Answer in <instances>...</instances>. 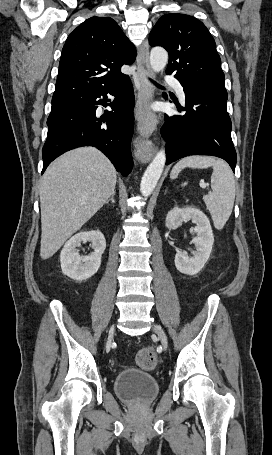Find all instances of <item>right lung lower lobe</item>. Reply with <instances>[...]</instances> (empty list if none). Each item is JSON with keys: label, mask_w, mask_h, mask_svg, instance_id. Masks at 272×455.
<instances>
[{"label": "right lung lower lobe", "mask_w": 272, "mask_h": 455, "mask_svg": "<svg viewBox=\"0 0 272 455\" xmlns=\"http://www.w3.org/2000/svg\"><path fill=\"white\" fill-rule=\"evenodd\" d=\"M107 94L116 97L110 104L112 111H106L98 118L96 109L99 105H108ZM134 102L128 77L118 84L52 105L47 119L48 136L42 150V174L64 152L80 146H94L111 160L118 172L127 176L133 166L130 142Z\"/></svg>", "instance_id": "right-lung-lower-lobe-1"}]
</instances>
